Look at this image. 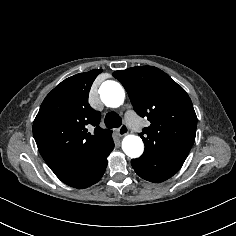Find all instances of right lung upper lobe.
Masks as SVG:
<instances>
[{
  "label": "right lung upper lobe",
  "mask_w": 236,
  "mask_h": 236,
  "mask_svg": "<svg viewBox=\"0 0 236 236\" xmlns=\"http://www.w3.org/2000/svg\"><path fill=\"white\" fill-rule=\"evenodd\" d=\"M102 69L71 76L44 99L33 122L39 152L52 171L88 162L111 141L98 125L101 115L88 104L91 85ZM94 126V133L87 127Z\"/></svg>",
  "instance_id": "cb5924a9"
}]
</instances>
